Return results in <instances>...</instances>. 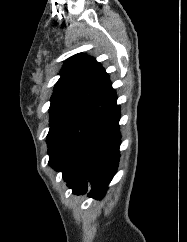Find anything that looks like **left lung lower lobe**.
Instances as JSON below:
<instances>
[{
  "instance_id": "0a47b994",
  "label": "left lung lower lobe",
  "mask_w": 187,
  "mask_h": 242,
  "mask_svg": "<svg viewBox=\"0 0 187 242\" xmlns=\"http://www.w3.org/2000/svg\"><path fill=\"white\" fill-rule=\"evenodd\" d=\"M120 107L115 105L98 119L75 143L56 169L62 172L73 193L100 199L115 175L119 163L121 135Z\"/></svg>"
}]
</instances>
